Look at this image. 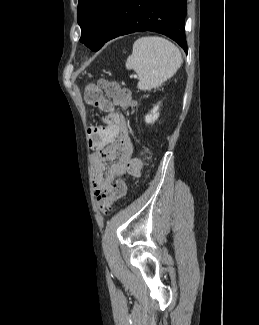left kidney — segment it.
I'll return each instance as SVG.
<instances>
[{"instance_id": "1", "label": "left kidney", "mask_w": 259, "mask_h": 325, "mask_svg": "<svg viewBox=\"0 0 259 325\" xmlns=\"http://www.w3.org/2000/svg\"><path fill=\"white\" fill-rule=\"evenodd\" d=\"M158 109H159V105L154 106V108L151 110V113L145 116L146 123L151 124L158 119L159 117Z\"/></svg>"}]
</instances>
